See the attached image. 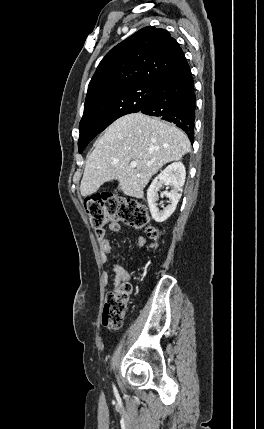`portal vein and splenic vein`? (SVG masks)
Listing matches in <instances>:
<instances>
[{
  "label": "portal vein and splenic vein",
  "instance_id": "portal-vein-and-splenic-vein-1",
  "mask_svg": "<svg viewBox=\"0 0 264 429\" xmlns=\"http://www.w3.org/2000/svg\"><path fill=\"white\" fill-rule=\"evenodd\" d=\"M130 166H131L132 168H135V167H137V166H138V162H137V161H132V162H130Z\"/></svg>",
  "mask_w": 264,
  "mask_h": 429
}]
</instances>
